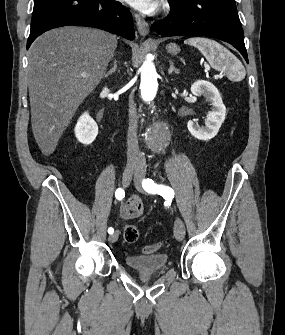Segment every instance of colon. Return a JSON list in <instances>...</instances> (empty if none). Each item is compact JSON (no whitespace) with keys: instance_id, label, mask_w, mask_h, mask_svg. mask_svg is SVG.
<instances>
[{"instance_id":"colon-1","label":"colon","mask_w":285,"mask_h":335,"mask_svg":"<svg viewBox=\"0 0 285 335\" xmlns=\"http://www.w3.org/2000/svg\"><path fill=\"white\" fill-rule=\"evenodd\" d=\"M139 237V231L134 225H127L123 231L124 241L127 243H134ZM163 246L162 242H156L151 245H147L143 248L145 254L154 253L158 251Z\"/></svg>"}]
</instances>
